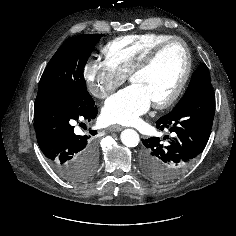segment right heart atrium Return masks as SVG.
<instances>
[{
    "label": "right heart atrium",
    "mask_w": 236,
    "mask_h": 236,
    "mask_svg": "<svg viewBox=\"0 0 236 236\" xmlns=\"http://www.w3.org/2000/svg\"><path fill=\"white\" fill-rule=\"evenodd\" d=\"M83 78L94 96L105 99L124 82L126 76L106 59L92 58L84 66Z\"/></svg>",
    "instance_id": "obj_1"
}]
</instances>
